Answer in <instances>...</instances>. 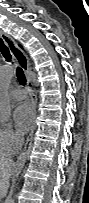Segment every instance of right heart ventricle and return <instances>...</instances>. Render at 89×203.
Masks as SVG:
<instances>
[{
  "label": "right heart ventricle",
  "mask_w": 89,
  "mask_h": 203,
  "mask_svg": "<svg viewBox=\"0 0 89 203\" xmlns=\"http://www.w3.org/2000/svg\"><path fill=\"white\" fill-rule=\"evenodd\" d=\"M14 153V151L9 150L8 148H6L1 139H0V158H7L10 157L12 154Z\"/></svg>",
  "instance_id": "right-heart-ventricle-1"
}]
</instances>
